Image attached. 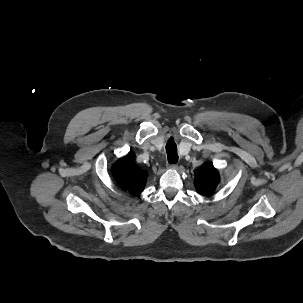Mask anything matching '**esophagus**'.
Listing matches in <instances>:
<instances>
[{
    "label": "esophagus",
    "mask_w": 303,
    "mask_h": 303,
    "mask_svg": "<svg viewBox=\"0 0 303 303\" xmlns=\"http://www.w3.org/2000/svg\"><path fill=\"white\" fill-rule=\"evenodd\" d=\"M169 168L173 169V170H177L178 169V165L177 164H169Z\"/></svg>",
    "instance_id": "esophagus-1"
}]
</instances>
